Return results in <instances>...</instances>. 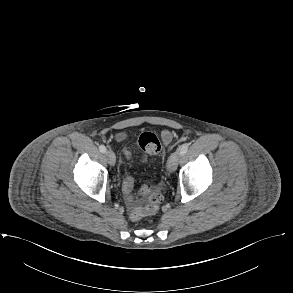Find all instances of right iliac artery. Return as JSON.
I'll list each match as a JSON object with an SVG mask.
<instances>
[{"label":"right iliac artery","instance_id":"obj_1","mask_svg":"<svg viewBox=\"0 0 293 293\" xmlns=\"http://www.w3.org/2000/svg\"><path fill=\"white\" fill-rule=\"evenodd\" d=\"M99 150H100V152L105 153L106 152V147L104 145H100Z\"/></svg>","mask_w":293,"mask_h":293}]
</instances>
